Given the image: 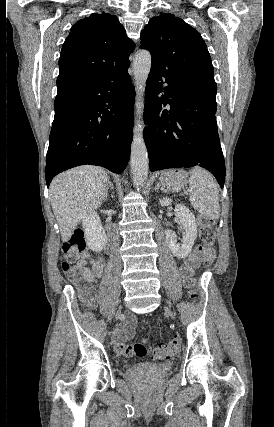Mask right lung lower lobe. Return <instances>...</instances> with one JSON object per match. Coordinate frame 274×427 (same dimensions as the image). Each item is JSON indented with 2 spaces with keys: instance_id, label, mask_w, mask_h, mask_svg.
Wrapping results in <instances>:
<instances>
[{
  "instance_id": "obj_1",
  "label": "right lung lower lobe",
  "mask_w": 274,
  "mask_h": 427,
  "mask_svg": "<svg viewBox=\"0 0 274 427\" xmlns=\"http://www.w3.org/2000/svg\"><path fill=\"white\" fill-rule=\"evenodd\" d=\"M128 69V68H127ZM127 69L94 87L55 100L45 176L91 164L121 173L130 157L135 89Z\"/></svg>"
}]
</instances>
